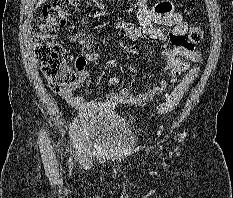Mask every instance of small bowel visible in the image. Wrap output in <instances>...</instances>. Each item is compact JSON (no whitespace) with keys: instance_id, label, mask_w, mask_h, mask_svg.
<instances>
[{"instance_id":"obj_1","label":"small bowel","mask_w":233,"mask_h":198,"mask_svg":"<svg viewBox=\"0 0 233 198\" xmlns=\"http://www.w3.org/2000/svg\"><path fill=\"white\" fill-rule=\"evenodd\" d=\"M139 25L130 22H119L115 28L122 30L132 41L147 40L152 43H168L171 46L166 47L162 54L165 58L164 71L172 77V82H176L179 75L188 68L190 61H196L200 58L198 52L193 48L186 46V35L189 31L187 22L182 15L176 12L173 5L168 1H162L150 10L147 6V0H138ZM170 27V31H165L162 27ZM84 47L88 51L77 59H81L82 64H77L78 78L75 87L83 85L89 86V71L86 68V62H95L99 56L92 52L94 37L87 36L84 40ZM131 74H136L137 70L130 65L126 66ZM110 85H121L118 77H112L108 80ZM167 89V83L164 80L155 82L151 87L144 91L132 94L124 86L121 87L119 94L105 92V101L98 102L87 100L83 97H76L70 91L62 93V97L74 108L79 110H96L110 112L119 105L137 106L151 102L155 97L162 94Z\"/></svg>"}]
</instances>
